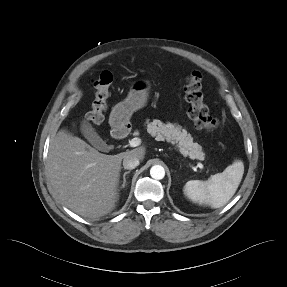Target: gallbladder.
I'll return each mask as SVG.
<instances>
[{
	"instance_id": "gallbladder-1",
	"label": "gallbladder",
	"mask_w": 287,
	"mask_h": 287,
	"mask_svg": "<svg viewBox=\"0 0 287 287\" xmlns=\"http://www.w3.org/2000/svg\"><path fill=\"white\" fill-rule=\"evenodd\" d=\"M80 132L85 139L95 148L103 150L106 146L105 142L101 139L92 125L88 122H82L80 125Z\"/></svg>"
}]
</instances>
